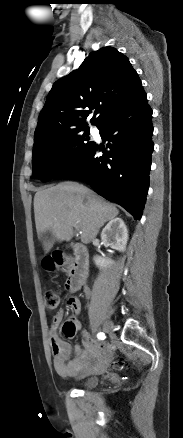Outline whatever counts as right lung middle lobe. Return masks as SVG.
I'll return each mask as SVG.
<instances>
[{"mask_svg": "<svg viewBox=\"0 0 183 438\" xmlns=\"http://www.w3.org/2000/svg\"><path fill=\"white\" fill-rule=\"evenodd\" d=\"M89 128L80 127L50 134L34 141L32 154V174L34 178L49 181L85 148L93 144L89 141Z\"/></svg>", "mask_w": 183, "mask_h": 438, "instance_id": "dd1d6c3e", "label": "right lung middle lobe"}]
</instances>
